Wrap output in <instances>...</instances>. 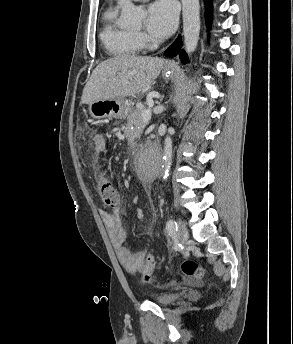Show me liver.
Instances as JSON below:
<instances>
[{
    "instance_id": "obj_1",
    "label": "liver",
    "mask_w": 293,
    "mask_h": 344,
    "mask_svg": "<svg viewBox=\"0 0 293 344\" xmlns=\"http://www.w3.org/2000/svg\"><path fill=\"white\" fill-rule=\"evenodd\" d=\"M165 61L158 57L119 55L100 63L83 89L82 103L116 99L145 91L160 74Z\"/></svg>"
}]
</instances>
